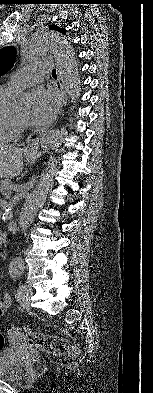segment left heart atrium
<instances>
[{
  "instance_id": "obj_1",
  "label": "left heart atrium",
  "mask_w": 153,
  "mask_h": 393,
  "mask_svg": "<svg viewBox=\"0 0 153 393\" xmlns=\"http://www.w3.org/2000/svg\"><path fill=\"white\" fill-rule=\"evenodd\" d=\"M60 96L53 89H38L34 92V103L30 122L34 126H47L57 115Z\"/></svg>"
}]
</instances>
